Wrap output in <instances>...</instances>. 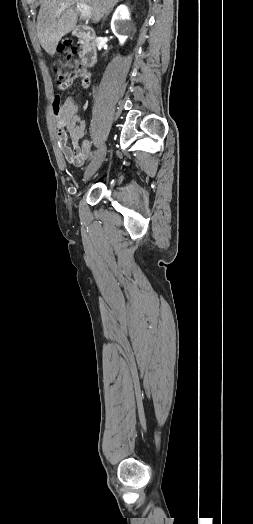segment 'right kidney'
I'll use <instances>...</instances> for the list:
<instances>
[{
	"label": "right kidney",
	"mask_w": 253,
	"mask_h": 524,
	"mask_svg": "<svg viewBox=\"0 0 253 524\" xmlns=\"http://www.w3.org/2000/svg\"><path fill=\"white\" fill-rule=\"evenodd\" d=\"M129 11L125 5H120L114 12L111 20V29L113 33L119 39V42L123 44L127 39L126 29H125V20H129Z\"/></svg>",
	"instance_id": "right-kidney-1"
}]
</instances>
